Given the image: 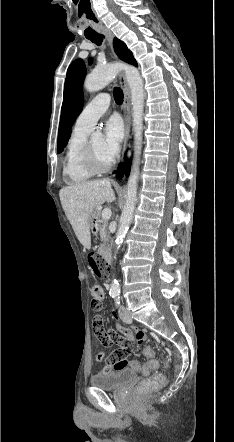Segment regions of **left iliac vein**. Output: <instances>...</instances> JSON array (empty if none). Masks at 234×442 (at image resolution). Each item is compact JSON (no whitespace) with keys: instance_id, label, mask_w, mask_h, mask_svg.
I'll return each mask as SVG.
<instances>
[{"instance_id":"left-iliac-vein-1","label":"left iliac vein","mask_w":234,"mask_h":442,"mask_svg":"<svg viewBox=\"0 0 234 442\" xmlns=\"http://www.w3.org/2000/svg\"><path fill=\"white\" fill-rule=\"evenodd\" d=\"M119 316L122 319V321H124L125 323L132 322L131 316L129 315L127 309L123 306L120 308Z\"/></svg>"}]
</instances>
